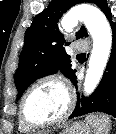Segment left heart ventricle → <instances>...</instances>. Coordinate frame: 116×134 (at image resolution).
<instances>
[{
  "mask_svg": "<svg viewBox=\"0 0 116 134\" xmlns=\"http://www.w3.org/2000/svg\"><path fill=\"white\" fill-rule=\"evenodd\" d=\"M68 103L64 88L55 82L43 83L26 98L25 114L34 122H45L59 117Z\"/></svg>",
  "mask_w": 116,
  "mask_h": 134,
  "instance_id": "left-heart-ventricle-1",
  "label": "left heart ventricle"
}]
</instances>
